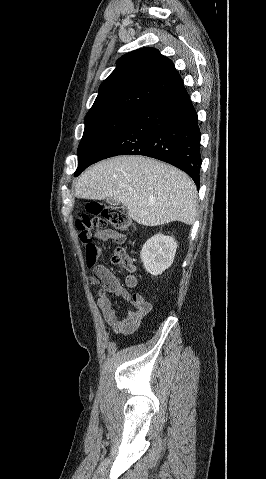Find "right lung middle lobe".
Wrapping results in <instances>:
<instances>
[{
	"instance_id": "right-lung-middle-lobe-1",
	"label": "right lung middle lobe",
	"mask_w": 266,
	"mask_h": 479,
	"mask_svg": "<svg viewBox=\"0 0 266 479\" xmlns=\"http://www.w3.org/2000/svg\"><path fill=\"white\" fill-rule=\"evenodd\" d=\"M139 112L140 110L121 109L85 117L75 176L93 164L103 149Z\"/></svg>"
}]
</instances>
